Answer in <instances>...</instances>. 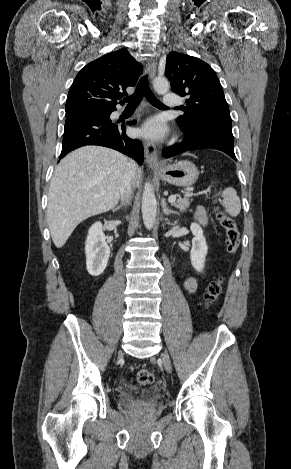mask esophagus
I'll return each mask as SVG.
<instances>
[{
    "label": "esophagus",
    "mask_w": 291,
    "mask_h": 469,
    "mask_svg": "<svg viewBox=\"0 0 291 469\" xmlns=\"http://www.w3.org/2000/svg\"><path fill=\"white\" fill-rule=\"evenodd\" d=\"M145 72L149 75L150 79H153L156 74V62L154 60H149L145 67ZM144 153L147 162L151 167L157 168L161 167L162 163L159 161L157 156V149L154 144L144 141Z\"/></svg>",
    "instance_id": "1"
}]
</instances>
